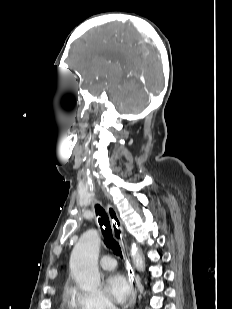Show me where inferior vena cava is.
I'll return each instance as SVG.
<instances>
[{"label": "inferior vena cava", "mask_w": 232, "mask_h": 309, "mask_svg": "<svg viewBox=\"0 0 232 309\" xmlns=\"http://www.w3.org/2000/svg\"><path fill=\"white\" fill-rule=\"evenodd\" d=\"M112 309H117V308H115V307H112Z\"/></svg>", "instance_id": "602c4592"}]
</instances>
